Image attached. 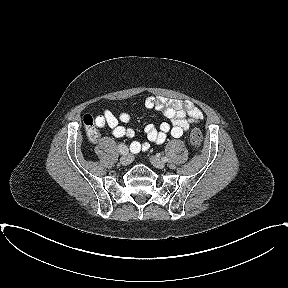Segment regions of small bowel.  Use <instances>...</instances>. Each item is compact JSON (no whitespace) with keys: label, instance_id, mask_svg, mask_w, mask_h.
<instances>
[{"label":"small bowel","instance_id":"1","mask_svg":"<svg viewBox=\"0 0 288 288\" xmlns=\"http://www.w3.org/2000/svg\"><path fill=\"white\" fill-rule=\"evenodd\" d=\"M145 107L162 111L170 123L163 122L158 128L152 124L146 125L144 132L148 141H133L130 144V150L133 153L148 150L150 143L162 144L168 134L174 138H180L189 129L191 123L198 122L203 118L202 111L191 101L152 96L145 100ZM129 120L130 115L128 113H121L117 117L110 110H104L101 115L95 118V124L100 128L107 126L115 137L132 138L134 130L123 125Z\"/></svg>","mask_w":288,"mask_h":288}]
</instances>
